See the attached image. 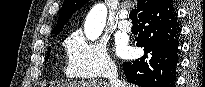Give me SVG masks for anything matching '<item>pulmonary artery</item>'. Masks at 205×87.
<instances>
[{"mask_svg":"<svg viewBox=\"0 0 205 87\" xmlns=\"http://www.w3.org/2000/svg\"><path fill=\"white\" fill-rule=\"evenodd\" d=\"M118 28L124 32H129L132 28L131 23L127 20V11H121L119 14Z\"/></svg>","mask_w":205,"mask_h":87,"instance_id":"e3ab8cb5","label":"pulmonary artery"}]
</instances>
